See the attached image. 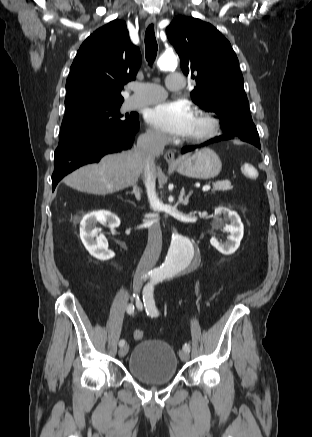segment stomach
Masks as SVG:
<instances>
[{
    "mask_svg": "<svg viewBox=\"0 0 312 437\" xmlns=\"http://www.w3.org/2000/svg\"><path fill=\"white\" fill-rule=\"evenodd\" d=\"M180 175L196 178L210 179L216 177L222 168L219 156L210 148H203L180 158L176 163L170 164Z\"/></svg>",
    "mask_w": 312,
    "mask_h": 437,
    "instance_id": "obj_1",
    "label": "stomach"
}]
</instances>
